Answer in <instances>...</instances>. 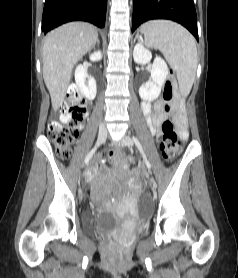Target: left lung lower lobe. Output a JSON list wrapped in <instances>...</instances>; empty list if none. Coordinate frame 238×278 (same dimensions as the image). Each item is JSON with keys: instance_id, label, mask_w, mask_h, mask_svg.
Segmentation results:
<instances>
[{"instance_id": "left-lung-lower-lobe-1", "label": "left lung lower lobe", "mask_w": 238, "mask_h": 278, "mask_svg": "<svg viewBox=\"0 0 238 278\" xmlns=\"http://www.w3.org/2000/svg\"><path fill=\"white\" fill-rule=\"evenodd\" d=\"M169 19L185 26L198 40L193 0H133L132 32L143 22Z\"/></svg>"}]
</instances>
